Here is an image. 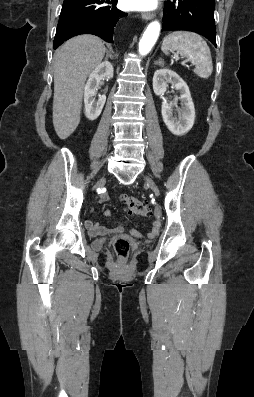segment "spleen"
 I'll return each instance as SVG.
<instances>
[{
    "instance_id": "obj_1",
    "label": "spleen",
    "mask_w": 254,
    "mask_h": 397,
    "mask_svg": "<svg viewBox=\"0 0 254 397\" xmlns=\"http://www.w3.org/2000/svg\"><path fill=\"white\" fill-rule=\"evenodd\" d=\"M162 51L165 54L176 52L188 58L195 65V73L203 79L210 77L213 71L210 49L201 36L187 31H174L163 40Z\"/></svg>"
}]
</instances>
